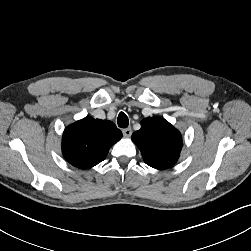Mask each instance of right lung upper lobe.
I'll list each match as a JSON object with an SVG mask.
<instances>
[{
	"mask_svg": "<svg viewBox=\"0 0 251 251\" xmlns=\"http://www.w3.org/2000/svg\"><path fill=\"white\" fill-rule=\"evenodd\" d=\"M122 132L109 120L85 117L67 128L62 137V153L73 166L89 169L103 161Z\"/></svg>",
	"mask_w": 251,
	"mask_h": 251,
	"instance_id": "1",
	"label": "right lung upper lobe"
}]
</instances>
